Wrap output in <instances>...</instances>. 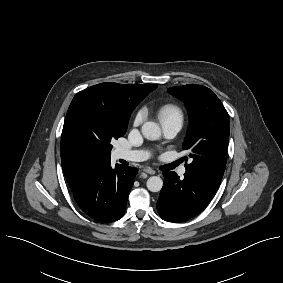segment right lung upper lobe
I'll use <instances>...</instances> for the list:
<instances>
[{
  "label": "right lung upper lobe",
  "instance_id": "obj_1",
  "mask_svg": "<svg viewBox=\"0 0 283 283\" xmlns=\"http://www.w3.org/2000/svg\"><path fill=\"white\" fill-rule=\"evenodd\" d=\"M156 87L157 85L153 84L130 85L109 82L91 86V88L117 94L131 102L138 104ZM97 159L101 158L91 156L78 148L70 140L66 130L63 128L61 137V163L65 177L71 189H73L79 183L89 165Z\"/></svg>",
  "mask_w": 283,
  "mask_h": 283
}]
</instances>
